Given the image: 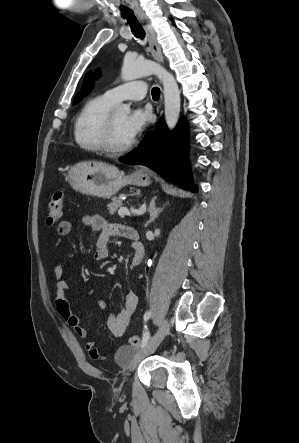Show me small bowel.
I'll use <instances>...</instances> for the list:
<instances>
[{
    "instance_id": "1",
    "label": "small bowel",
    "mask_w": 299,
    "mask_h": 443,
    "mask_svg": "<svg viewBox=\"0 0 299 443\" xmlns=\"http://www.w3.org/2000/svg\"><path fill=\"white\" fill-rule=\"evenodd\" d=\"M79 223L83 226L90 228L93 231L99 233L96 250L95 259L105 260L109 257L108 241L110 236L118 235L124 238H128V231L131 227L112 224L107 222L100 215H83L79 218ZM72 224L69 221H62L57 227L58 239L55 243V248H57L61 243V237L68 236L71 233ZM143 253L139 254L134 252L133 256L129 261L130 268L136 267L142 260ZM66 269L61 263H57L54 267V276L56 278V298L55 305L60 316L66 321V323L74 330V332L80 338H87L88 331L82 325L81 318L79 315L75 314L68 302L66 297V290L68 287L66 278ZM138 305V296L134 291H127L124 295V305L123 308L117 312L109 313L105 318V323L110 334L115 338L122 337L129 326L131 316L135 312ZM98 306L100 309L105 308V303L103 301H98ZM86 349L89 356L93 359H102L103 355L97 348L94 341H88L86 343Z\"/></svg>"
}]
</instances>
